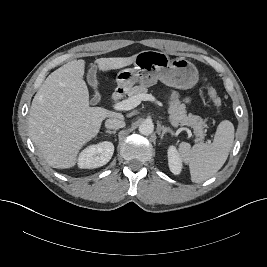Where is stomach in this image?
<instances>
[{"instance_id": "1", "label": "stomach", "mask_w": 267, "mask_h": 267, "mask_svg": "<svg viewBox=\"0 0 267 267\" xmlns=\"http://www.w3.org/2000/svg\"><path fill=\"white\" fill-rule=\"evenodd\" d=\"M134 67L118 72L116 82L124 92L132 89L135 83L150 87L158 80L177 89L192 88L198 81V70L185 58L170 59L163 52L145 50L137 53Z\"/></svg>"}]
</instances>
